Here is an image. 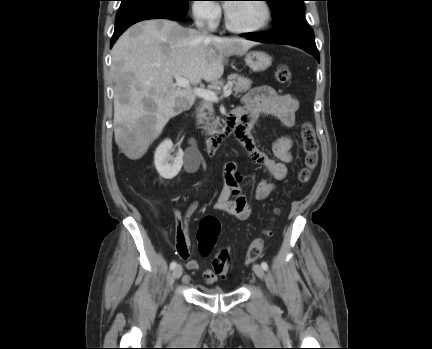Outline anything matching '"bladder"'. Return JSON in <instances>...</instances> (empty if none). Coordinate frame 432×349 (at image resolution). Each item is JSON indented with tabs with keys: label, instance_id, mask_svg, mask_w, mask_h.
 I'll return each mask as SVG.
<instances>
[{
	"label": "bladder",
	"instance_id": "1",
	"mask_svg": "<svg viewBox=\"0 0 432 349\" xmlns=\"http://www.w3.org/2000/svg\"><path fill=\"white\" fill-rule=\"evenodd\" d=\"M202 291L205 292V293H207V294H213V295H216V294H223V293H224V290L221 289V288H219V287H213V288H210V287H204V288L202 289Z\"/></svg>",
	"mask_w": 432,
	"mask_h": 349
}]
</instances>
